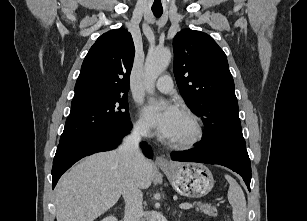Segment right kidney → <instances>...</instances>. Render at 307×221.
Listing matches in <instances>:
<instances>
[{"instance_id":"1","label":"right kidney","mask_w":307,"mask_h":221,"mask_svg":"<svg viewBox=\"0 0 307 221\" xmlns=\"http://www.w3.org/2000/svg\"><path fill=\"white\" fill-rule=\"evenodd\" d=\"M102 221H117V219L114 216H108V217L104 218Z\"/></svg>"}]
</instances>
